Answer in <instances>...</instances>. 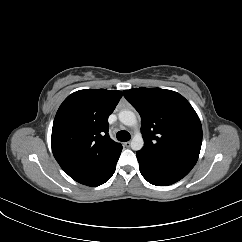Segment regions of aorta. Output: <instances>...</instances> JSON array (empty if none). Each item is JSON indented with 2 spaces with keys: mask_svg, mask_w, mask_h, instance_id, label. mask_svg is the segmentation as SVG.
<instances>
[{
  "mask_svg": "<svg viewBox=\"0 0 242 242\" xmlns=\"http://www.w3.org/2000/svg\"><path fill=\"white\" fill-rule=\"evenodd\" d=\"M119 120L121 123L128 127H133L135 128L137 126V118L136 115L133 111L131 110H122L120 111L119 115ZM144 145V141L142 138V134L137 131L133 138L131 139V148L134 151L141 150Z\"/></svg>",
  "mask_w": 242,
  "mask_h": 242,
  "instance_id": "762f6f07",
  "label": "aorta"
}]
</instances>
